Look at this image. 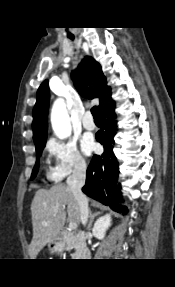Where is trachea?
Wrapping results in <instances>:
<instances>
[{"mask_svg": "<svg viewBox=\"0 0 175 287\" xmlns=\"http://www.w3.org/2000/svg\"><path fill=\"white\" fill-rule=\"evenodd\" d=\"M70 39L73 40V37H70ZM91 113H92L93 118H94L95 121H99L100 120V118H99V111H98V108L96 106L92 107Z\"/></svg>", "mask_w": 175, "mask_h": 287, "instance_id": "obj_1", "label": "trachea"}]
</instances>
